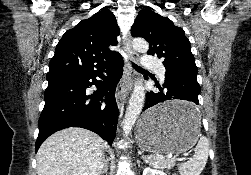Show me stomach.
I'll return each instance as SVG.
<instances>
[{
    "label": "stomach",
    "mask_w": 251,
    "mask_h": 175,
    "mask_svg": "<svg viewBox=\"0 0 251 175\" xmlns=\"http://www.w3.org/2000/svg\"><path fill=\"white\" fill-rule=\"evenodd\" d=\"M192 100H163V105L142 113L136 139L150 154L183 153L195 145L201 133L200 114Z\"/></svg>",
    "instance_id": "1"
}]
</instances>
